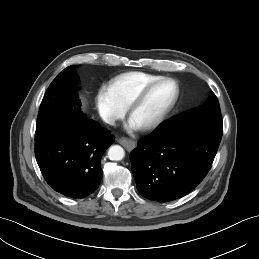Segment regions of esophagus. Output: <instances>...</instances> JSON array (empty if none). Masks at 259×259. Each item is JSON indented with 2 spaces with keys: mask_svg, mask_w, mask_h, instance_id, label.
Masks as SVG:
<instances>
[{
  "mask_svg": "<svg viewBox=\"0 0 259 259\" xmlns=\"http://www.w3.org/2000/svg\"><path fill=\"white\" fill-rule=\"evenodd\" d=\"M118 143L123 145L128 151H131L135 148L136 143L133 140H130L128 138L122 137L117 139Z\"/></svg>",
  "mask_w": 259,
  "mask_h": 259,
  "instance_id": "1",
  "label": "esophagus"
}]
</instances>
